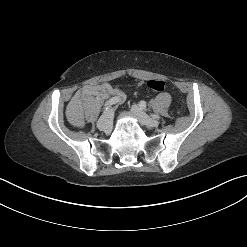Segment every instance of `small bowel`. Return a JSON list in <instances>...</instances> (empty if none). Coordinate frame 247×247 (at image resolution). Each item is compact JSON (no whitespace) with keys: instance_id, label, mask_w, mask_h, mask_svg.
Returning <instances> with one entry per match:
<instances>
[{"instance_id":"c3829d8e","label":"small bowel","mask_w":247,"mask_h":247,"mask_svg":"<svg viewBox=\"0 0 247 247\" xmlns=\"http://www.w3.org/2000/svg\"><path fill=\"white\" fill-rule=\"evenodd\" d=\"M116 91V87L108 84L86 85L80 88L71 98L68 108L67 116L71 124L76 127H83L85 124L83 116V102L91 96L100 99H105L109 94Z\"/></svg>"}]
</instances>
